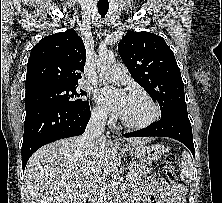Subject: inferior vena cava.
<instances>
[{"instance_id":"inferior-vena-cava-1","label":"inferior vena cava","mask_w":222,"mask_h":203,"mask_svg":"<svg viewBox=\"0 0 222 203\" xmlns=\"http://www.w3.org/2000/svg\"><path fill=\"white\" fill-rule=\"evenodd\" d=\"M106 124V114L102 112L92 113L87 124L85 133L82 136L83 144L93 150H97L99 141L106 140L104 136V128ZM106 177L103 176L96 180L92 186L90 193L91 203H109L107 193Z\"/></svg>"}]
</instances>
